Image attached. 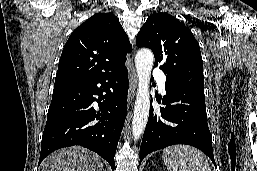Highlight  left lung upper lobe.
<instances>
[{"instance_id": "left-lung-upper-lobe-1", "label": "left lung upper lobe", "mask_w": 257, "mask_h": 171, "mask_svg": "<svg viewBox=\"0 0 257 171\" xmlns=\"http://www.w3.org/2000/svg\"><path fill=\"white\" fill-rule=\"evenodd\" d=\"M138 47L150 48L155 66L167 78L204 93L203 61L192 32L167 13L151 15L136 37Z\"/></svg>"}]
</instances>
